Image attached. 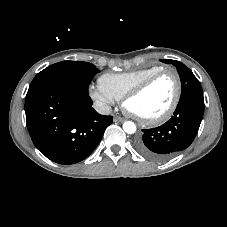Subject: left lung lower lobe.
I'll return each instance as SVG.
<instances>
[{"mask_svg": "<svg viewBox=\"0 0 227 227\" xmlns=\"http://www.w3.org/2000/svg\"><path fill=\"white\" fill-rule=\"evenodd\" d=\"M203 95L190 94L180 98L173 117L163 125L143 129L135 141L143 156L163 161L186 149L194 140L204 112Z\"/></svg>", "mask_w": 227, "mask_h": 227, "instance_id": "left-lung-lower-lobe-1", "label": "left lung lower lobe"}]
</instances>
